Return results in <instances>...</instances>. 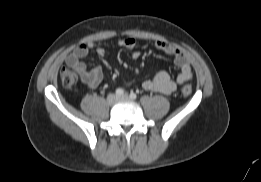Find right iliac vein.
<instances>
[{
	"instance_id": "1",
	"label": "right iliac vein",
	"mask_w": 261,
	"mask_h": 182,
	"mask_svg": "<svg viewBox=\"0 0 261 182\" xmlns=\"http://www.w3.org/2000/svg\"><path fill=\"white\" fill-rule=\"evenodd\" d=\"M118 100V97L115 94H109L107 97V103L109 105H114Z\"/></svg>"
}]
</instances>
